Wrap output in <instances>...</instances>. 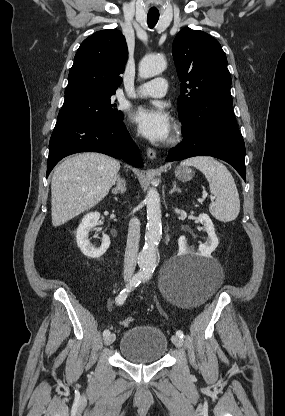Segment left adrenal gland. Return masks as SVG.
Masks as SVG:
<instances>
[{
  "label": "left adrenal gland",
  "mask_w": 285,
  "mask_h": 416,
  "mask_svg": "<svg viewBox=\"0 0 285 416\" xmlns=\"http://www.w3.org/2000/svg\"><path fill=\"white\" fill-rule=\"evenodd\" d=\"M173 192H181L179 188H176V182H173V188L170 190L169 194H173Z\"/></svg>",
  "instance_id": "a2214340"
}]
</instances>
